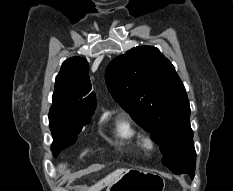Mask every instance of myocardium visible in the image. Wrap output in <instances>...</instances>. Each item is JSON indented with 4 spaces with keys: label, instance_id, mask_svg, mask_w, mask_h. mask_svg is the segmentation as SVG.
Listing matches in <instances>:
<instances>
[{
    "label": "myocardium",
    "instance_id": "1",
    "mask_svg": "<svg viewBox=\"0 0 233 191\" xmlns=\"http://www.w3.org/2000/svg\"><path fill=\"white\" fill-rule=\"evenodd\" d=\"M143 144L146 149L152 150L155 147V140L150 134H147L143 137Z\"/></svg>",
    "mask_w": 233,
    "mask_h": 191
}]
</instances>
